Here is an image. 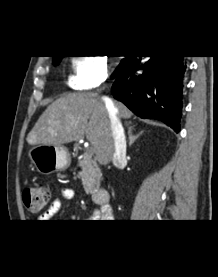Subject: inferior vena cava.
Here are the masks:
<instances>
[{
	"instance_id": "inferior-vena-cava-1",
	"label": "inferior vena cava",
	"mask_w": 218,
	"mask_h": 277,
	"mask_svg": "<svg viewBox=\"0 0 218 277\" xmlns=\"http://www.w3.org/2000/svg\"><path fill=\"white\" fill-rule=\"evenodd\" d=\"M107 106V111L111 124V132L114 141V153H113V164L120 168L125 165L126 160V139L124 129L120 122V116L117 108L115 107L112 100L104 98Z\"/></svg>"
}]
</instances>
